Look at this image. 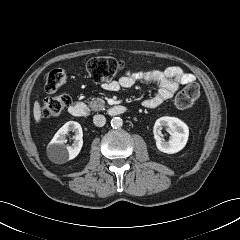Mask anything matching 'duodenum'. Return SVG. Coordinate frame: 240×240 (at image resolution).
Returning <instances> with one entry per match:
<instances>
[{"mask_svg": "<svg viewBox=\"0 0 240 240\" xmlns=\"http://www.w3.org/2000/svg\"><path fill=\"white\" fill-rule=\"evenodd\" d=\"M127 108L123 105H114L107 109V113L111 116L124 114ZM69 112L74 117H85L88 114V107L85 103L76 101L71 104Z\"/></svg>", "mask_w": 240, "mask_h": 240, "instance_id": "obj_1", "label": "duodenum"}]
</instances>
